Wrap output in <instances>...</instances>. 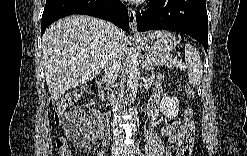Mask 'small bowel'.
<instances>
[{
    "label": "small bowel",
    "instance_id": "small-bowel-1",
    "mask_svg": "<svg viewBox=\"0 0 247 156\" xmlns=\"http://www.w3.org/2000/svg\"><path fill=\"white\" fill-rule=\"evenodd\" d=\"M158 93H155L149 103V114L151 118H157L156 100ZM161 135L167 139L170 153L173 155H181V153L189 154L194 144V125L193 123L184 126L179 120H174L161 127Z\"/></svg>",
    "mask_w": 247,
    "mask_h": 156
}]
</instances>
